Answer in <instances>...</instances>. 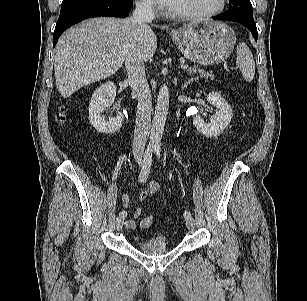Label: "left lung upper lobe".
Returning a JSON list of instances; mask_svg holds the SVG:
<instances>
[{
  "label": "left lung upper lobe",
  "mask_w": 307,
  "mask_h": 301,
  "mask_svg": "<svg viewBox=\"0 0 307 301\" xmlns=\"http://www.w3.org/2000/svg\"><path fill=\"white\" fill-rule=\"evenodd\" d=\"M229 3V8L223 16L253 19L250 0H229Z\"/></svg>",
  "instance_id": "1"
}]
</instances>
